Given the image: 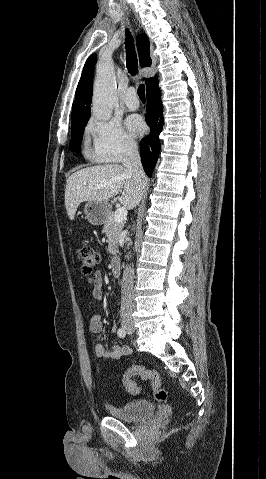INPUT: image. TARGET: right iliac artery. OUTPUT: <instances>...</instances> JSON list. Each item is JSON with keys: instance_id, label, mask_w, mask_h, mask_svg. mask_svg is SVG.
Masks as SVG:
<instances>
[{"instance_id": "obj_1", "label": "right iliac artery", "mask_w": 266, "mask_h": 479, "mask_svg": "<svg viewBox=\"0 0 266 479\" xmlns=\"http://www.w3.org/2000/svg\"><path fill=\"white\" fill-rule=\"evenodd\" d=\"M117 334H118V336H119L120 338H124V337L126 336V331H125V329L122 327V328H119V329H118Z\"/></svg>"}]
</instances>
